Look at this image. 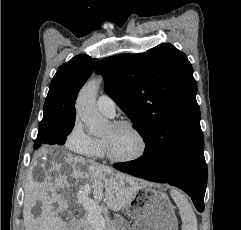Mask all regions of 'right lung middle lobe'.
Masks as SVG:
<instances>
[{
	"mask_svg": "<svg viewBox=\"0 0 241 230\" xmlns=\"http://www.w3.org/2000/svg\"><path fill=\"white\" fill-rule=\"evenodd\" d=\"M75 124V119L57 121L43 117L39 124L38 136L35 140L34 148L37 149L44 144L63 145L67 136L71 133Z\"/></svg>",
	"mask_w": 241,
	"mask_h": 230,
	"instance_id": "dd1d6c3e",
	"label": "right lung middle lobe"
}]
</instances>
